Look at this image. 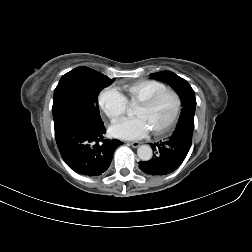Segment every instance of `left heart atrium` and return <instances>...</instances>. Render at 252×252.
<instances>
[{"instance_id": "39dd6f15", "label": "left heart atrium", "mask_w": 252, "mask_h": 252, "mask_svg": "<svg viewBox=\"0 0 252 252\" xmlns=\"http://www.w3.org/2000/svg\"><path fill=\"white\" fill-rule=\"evenodd\" d=\"M110 132L113 136L126 139L135 140L144 137L148 132L149 128L141 117L125 118L115 123Z\"/></svg>"}]
</instances>
